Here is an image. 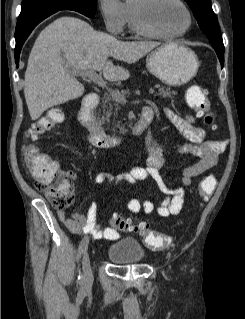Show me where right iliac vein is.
Wrapping results in <instances>:
<instances>
[{"instance_id":"63e3f726","label":"right iliac vein","mask_w":245,"mask_h":319,"mask_svg":"<svg viewBox=\"0 0 245 319\" xmlns=\"http://www.w3.org/2000/svg\"><path fill=\"white\" fill-rule=\"evenodd\" d=\"M89 238L88 236L84 237L81 241L82 244L85 245V251L83 254V260H82V268H83V281L85 285H89L92 282V269L90 265V259L87 252V246H88Z\"/></svg>"}]
</instances>
